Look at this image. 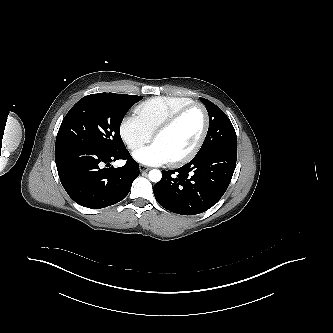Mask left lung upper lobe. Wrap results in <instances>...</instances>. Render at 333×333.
<instances>
[{
  "label": "left lung upper lobe",
  "mask_w": 333,
  "mask_h": 333,
  "mask_svg": "<svg viewBox=\"0 0 333 333\" xmlns=\"http://www.w3.org/2000/svg\"><path fill=\"white\" fill-rule=\"evenodd\" d=\"M205 105L210 119L207 136L197 154L205 153L216 148H237V136L230 119L211 101L200 98Z\"/></svg>",
  "instance_id": "1"
}]
</instances>
